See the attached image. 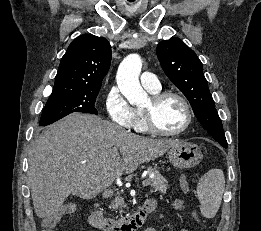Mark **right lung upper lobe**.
Listing matches in <instances>:
<instances>
[{
    "instance_id": "cb5924a9",
    "label": "right lung upper lobe",
    "mask_w": 261,
    "mask_h": 231,
    "mask_svg": "<svg viewBox=\"0 0 261 231\" xmlns=\"http://www.w3.org/2000/svg\"><path fill=\"white\" fill-rule=\"evenodd\" d=\"M111 61L109 42L94 35L77 37L61 59L55 89H100Z\"/></svg>"
}]
</instances>
